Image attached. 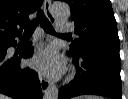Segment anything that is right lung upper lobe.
I'll use <instances>...</instances> for the list:
<instances>
[{
  "label": "right lung upper lobe",
  "instance_id": "right-lung-upper-lobe-1",
  "mask_svg": "<svg viewBox=\"0 0 128 99\" xmlns=\"http://www.w3.org/2000/svg\"><path fill=\"white\" fill-rule=\"evenodd\" d=\"M43 0H0V42L21 34Z\"/></svg>",
  "mask_w": 128,
  "mask_h": 99
}]
</instances>
